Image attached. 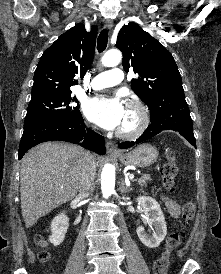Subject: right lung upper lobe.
Masks as SVG:
<instances>
[{
  "instance_id": "1",
  "label": "right lung upper lobe",
  "mask_w": 221,
  "mask_h": 274,
  "mask_svg": "<svg viewBox=\"0 0 221 274\" xmlns=\"http://www.w3.org/2000/svg\"><path fill=\"white\" fill-rule=\"evenodd\" d=\"M96 35V27L88 33L78 23L45 50L34 73L31 99L71 93L70 86L77 84L73 78L84 77L93 61Z\"/></svg>"
}]
</instances>
